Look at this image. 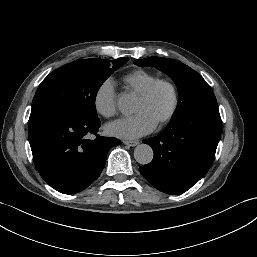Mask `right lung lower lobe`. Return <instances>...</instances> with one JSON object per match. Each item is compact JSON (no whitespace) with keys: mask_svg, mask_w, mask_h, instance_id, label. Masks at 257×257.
<instances>
[{"mask_svg":"<svg viewBox=\"0 0 257 257\" xmlns=\"http://www.w3.org/2000/svg\"><path fill=\"white\" fill-rule=\"evenodd\" d=\"M99 118L35 112L28 122L34 164L51 187L74 194L88 187L101 173L111 147L120 140L98 136ZM93 134V140L88 137Z\"/></svg>","mask_w":257,"mask_h":257,"instance_id":"98d812e1","label":"right lung lower lobe"}]
</instances>
